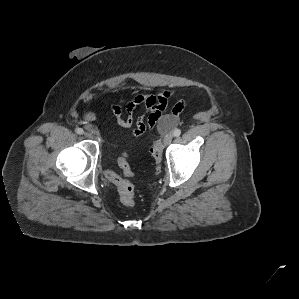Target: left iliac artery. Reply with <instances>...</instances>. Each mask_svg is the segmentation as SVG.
<instances>
[{
    "mask_svg": "<svg viewBox=\"0 0 299 299\" xmlns=\"http://www.w3.org/2000/svg\"><path fill=\"white\" fill-rule=\"evenodd\" d=\"M180 134H181V130L180 129H175L174 130V132H173V135L175 136V137H178V136H180Z\"/></svg>",
    "mask_w": 299,
    "mask_h": 299,
    "instance_id": "44dca946",
    "label": "left iliac artery"
}]
</instances>
